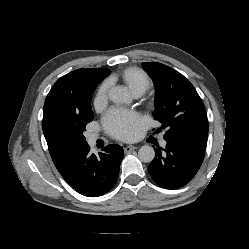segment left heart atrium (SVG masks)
<instances>
[{"instance_id":"obj_1","label":"left heart atrium","mask_w":249,"mask_h":249,"mask_svg":"<svg viewBox=\"0 0 249 249\" xmlns=\"http://www.w3.org/2000/svg\"><path fill=\"white\" fill-rule=\"evenodd\" d=\"M103 125L111 136L120 140H133L142 130L141 121L137 116L118 109H113L105 115Z\"/></svg>"}]
</instances>
